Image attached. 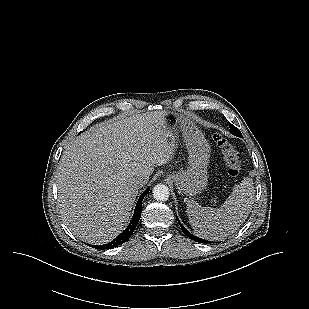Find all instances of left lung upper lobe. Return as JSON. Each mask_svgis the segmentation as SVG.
<instances>
[{"instance_id": "obj_1", "label": "left lung upper lobe", "mask_w": 309, "mask_h": 309, "mask_svg": "<svg viewBox=\"0 0 309 309\" xmlns=\"http://www.w3.org/2000/svg\"><path fill=\"white\" fill-rule=\"evenodd\" d=\"M229 127H230V132L235 135V136H239L242 137V134L240 132V130L238 128H236L234 125H232L231 123H229Z\"/></svg>"}]
</instances>
